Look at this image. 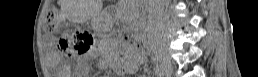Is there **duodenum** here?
<instances>
[{
	"instance_id": "obj_1",
	"label": "duodenum",
	"mask_w": 258,
	"mask_h": 77,
	"mask_svg": "<svg viewBox=\"0 0 258 77\" xmlns=\"http://www.w3.org/2000/svg\"><path fill=\"white\" fill-rule=\"evenodd\" d=\"M144 45H148L149 49L152 50L151 41L149 39L143 40Z\"/></svg>"
}]
</instances>
